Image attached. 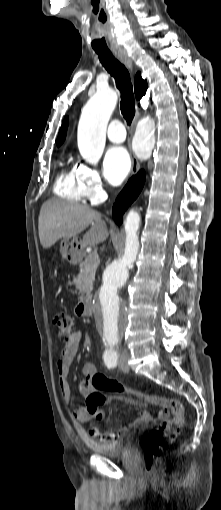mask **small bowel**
Here are the masks:
<instances>
[{"label": "small bowel", "instance_id": "1", "mask_svg": "<svg viewBox=\"0 0 221 510\" xmlns=\"http://www.w3.org/2000/svg\"><path fill=\"white\" fill-rule=\"evenodd\" d=\"M81 343V333L75 332L72 336L71 340L67 342L62 350H61V356L57 362V371L59 376V389L61 392V395L66 403H70L72 400V392L70 388V384L68 381V375L71 368V365L77 356V353L79 351ZM82 380L80 381L78 385L79 392L84 396L87 397L89 394L95 392V390L90 385V377L96 373V368L93 364L87 363L82 367ZM104 404V403H103ZM103 404L88 408L87 406H81L73 409L72 415L78 422H88L94 419H98V415H102V417L105 415V410L103 407ZM153 418L147 411H140L138 412L134 420L128 424L127 426L123 427L117 432L112 433H106L103 434L99 432L97 429H92L90 433L98 437L99 439L103 441H112L115 439L120 438L122 435L128 433L131 429H135L141 426H145L149 424Z\"/></svg>", "mask_w": 221, "mask_h": 510}]
</instances>
